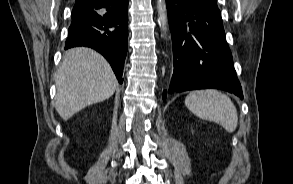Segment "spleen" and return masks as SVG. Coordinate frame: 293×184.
<instances>
[{
  "label": "spleen",
  "mask_w": 293,
  "mask_h": 184,
  "mask_svg": "<svg viewBox=\"0 0 293 184\" xmlns=\"http://www.w3.org/2000/svg\"><path fill=\"white\" fill-rule=\"evenodd\" d=\"M186 107L197 117L214 121L233 132L238 125V114L231 99L214 89L192 91L185 98Z\"/></svg>",
  "instance_id": "3e777b00"
}]
</instances>
